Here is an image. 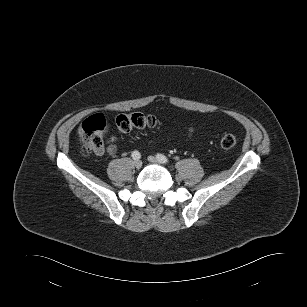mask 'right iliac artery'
I'll return each instance as SVG.
<instances>
[{
    "label": "right iliac artery",
    "mask_w": 307,
    "mask_h": 307,
    "mask_svg": "<svg viewBox=\"0 0 307 307\" xmlns=\"http://www.w3.org/2000/svg\"><path fill=\"white\" fill-rule=\"evenodd\" d=\"M131 156L134 160H138L141 157L140 153L137 150L133 151Z\"/></svg>",
    "instance_id": "82829eb1"
}]
</instances>
